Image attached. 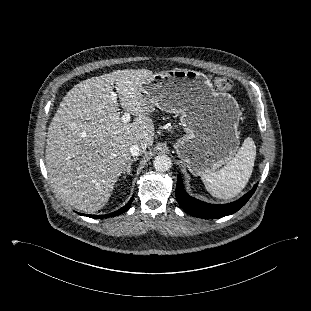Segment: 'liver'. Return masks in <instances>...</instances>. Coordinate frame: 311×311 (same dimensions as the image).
Listing matches in <instances>:
<instances>
[{
  "mask_svg": "<svg viewBox=\"0 0 311 311\" xmlns=\"http://www.w3.org/2000/svg\"><path fill=\"white\" fill-rule=\"evenodd\" d=\"M147 69L116 70L86 79L63 98L47 133L46 168L53 187L84 212L101 209L131 160L130 147L154 142V124L140 94ZM121 107L136 116L122 122Z\"/></svg>",
  "mask_w": 311,
  "mask_h": 311,
  "instance_id": "6515ba94",
  "label": "liver"
}]
</instances>
